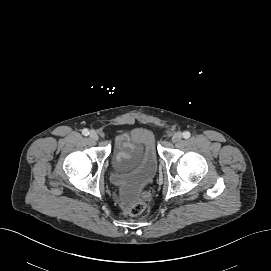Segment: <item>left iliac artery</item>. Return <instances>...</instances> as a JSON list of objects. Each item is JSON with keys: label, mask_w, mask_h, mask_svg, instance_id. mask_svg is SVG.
<instances>
[{"label": "left iliac artery", "mask_w": 271, "mask_h": 271, "mask_svg": "<svg viewBox=\"0 0 271 271\" xmlns=\"http://www.w3.org/2000/svg\"><path fill=\"white\" fill-rule=\"evenodd\" d=\"M190 136H191V134H190L189 131H185V132L183 133V137H184L185 139H188Z\"/></svg>", "instance_id": "obj_1"}]
</instances>
